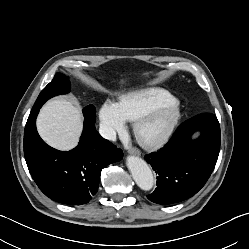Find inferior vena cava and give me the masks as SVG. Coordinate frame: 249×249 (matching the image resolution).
I'll return each mask as SVG.
<instances>
[{"instance_id": "1", "label": "inferior vena cava", "mask_w": 249, "mask_h": 249, "mask_svg": "<svg viewBox=\"0 0 249 249\" xmlns=\"http://www.w3.org/2000/svg\"><path fill=\"white\" fill-rule=\"evenodd\" d=\"M99 132L101 134V136L105 139L111 140V141H115L116 140V131L107 125H101L99 128Z\"/></svg>"}]
</instances>
